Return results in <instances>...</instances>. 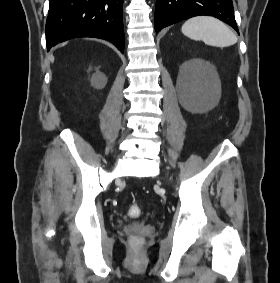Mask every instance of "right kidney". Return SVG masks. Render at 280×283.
Returning a JSON list of instances; mask_svg holds the SVG:
<instances>
[{"label":"right kidney","instance_id":"right-kidney-1","mask_svg":"<svg viewBox=\"0 0 280 283\" xmlns=\"http://www.w3.org/2000/svg\"><path fill=\"white\" fill-rule=\"evenodd\" d=\"M94 82L95 83H105L106 82V77L103 74H98L94 77Z\"/></svg>","mask_w":280,"mask_h":283}]
</instances>
